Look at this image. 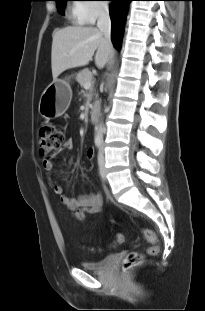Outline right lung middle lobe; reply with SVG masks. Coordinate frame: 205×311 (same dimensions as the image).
<instances>
[{"label":"right lung middle lobe","mask_w":205,"mask_h":311,"mask_svg":"<svg viewBox=\"0 0 205 311\" xmlns=\"http://www.w3.org/2000/svg\"><path fill=\"white\" fill-rule=\"evenodd\" d=\"M56 1V5H57V9L59 11V13L61 15H63V10H64V7H65V2L68 1V0H55Z\"/></svg>","instance_id":"right-lung-middle-lobe-1"}]
</instances>
